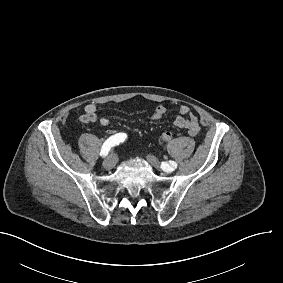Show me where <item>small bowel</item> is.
<instances>
[{
  "label": "small bowel",
  "mask_w": 283,
  "mask_h": 283,
  "mask_svg": "<svg viewBox=\"0 0 283 283\" xmlns=\"http://www.w3.org/2000/svg\"><path fill=\"white\" fill-rule=\"evenodd\" d=\"M167 113V107L159 104L155 107L151 114L150 120L152 122L160 121ZM79 121L81 123H98L101 126H109L110 120L108 117L98 114L97 106L93 103L87 104L84 108V113L80 115ZM174 126L177 128H184L188 130L190 136H196L199 133L198 117L191 112L187 105H181L178 109V115L174 119ZM113 134V130H109Z\"/></svg>",
  "instance_id": "c3829d8e"
}]
</instances>
